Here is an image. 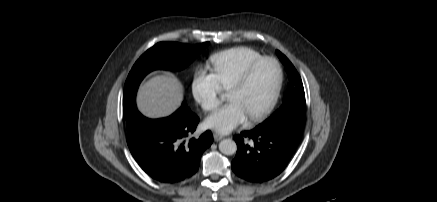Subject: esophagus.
I'll list each match as a JSON object with an SVG mask.
<instances>
[{
  "mask_svg": "<svg viewBox=\"0 0 437 202\" xmlns=\"http://www.w3.org/2000/svg\"><path fill=\"white\" fill-rule=\"evenodd\" d=\"M213 138H214L215 141H220L221 139L224 138V136H223V135H220V134H218V133H214V134H213Z\"/></svg>",
  "mask_w": 437,
  "mask_h": 202,
  "instance_id": "obj_1",
  "label": "esophagus"
}]
</instances>
